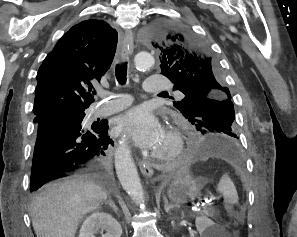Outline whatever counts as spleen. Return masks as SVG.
Wrapping results in <instances>:
<instances>
[{"label": "spleen", "instance_id": "1", "mask_svg": "<svg viewBox=\"0 0 297 237\" xmlns=\"http://www.w3.org/2000/svg\"><path fill=\"white\" fill-rule=\"evenodd\" d=\"M217 191L220 192L224 197L226 203L225 208L228 210L231 205L238 202V194L236 188L227 174H224L218 184Z\"/></svg>", "mask_w": 297, "mask_h": 237}]
</instances>
